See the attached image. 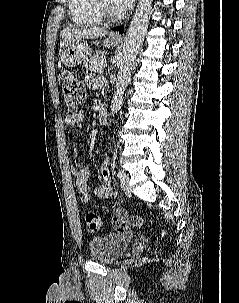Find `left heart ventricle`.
Instances as JSON below:
<instances>
[{"mask_svg": "<svg viewBox=\"0 0 239 303\" xmlns=\"http://www.w3.org/2000/svg\"><path fill=\"white\" fill-rule=\"evenodd\" d=\"M105 3L107 4V6L112 10V11H115V12H118L119 9H117L114 4L112 3V0H105Z\"/></svg>", "mask_w": 239, "mask_h": 303, "instance_id": "b2bd125f", "label": "left heart ventricle"}]
</instances>
